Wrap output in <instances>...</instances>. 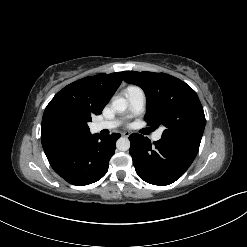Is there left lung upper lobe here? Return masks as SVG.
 I'll return each mask as SVG.
<instances>
[{
  "mask_svg": "<svg viewBox=\"0 0 247 247\" xmlns=\"http://www.w3.org/2000/svg\"><path fill=\"white\" fill-rule=\"evenodd\" d=\"M123 79L143 89L147 100L145 121L163 125L162 138L199 150L205 128L203 107L185 82L165 73L123 71Z\"/></svg>",
  "mask_w": 247,
  "mask_h": 247,
  "instance_id": "5c2ea615",
  "label": "left lung upper lobe"
}]
</instances>
